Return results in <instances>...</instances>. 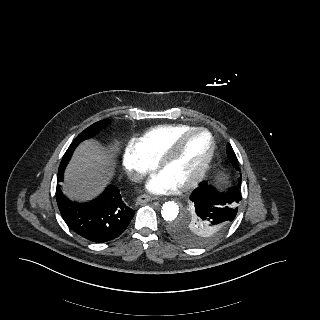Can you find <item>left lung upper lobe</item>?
Here are the masks:
<instances>
[{"mask_svg": "<svg viewBox=\"0 0 320 320\" xmlns=\"http://www.w3.org/2000/svg\"><path fill=\"white\" fill-rule=\"evenodd\" d=\"M227 156L233 167L240 171L237 157L230 144H227ZM238 184H241V179H239ZM187 227V229H184L173 224L171 225L170 230L179 240L189 243L191 235L207 236V231L210 229L209 223L202 219L193 208H190V211L187 214Z\"/></svg>", "mask_w": 320, "mask_h": 320, "instance_id": "obj_1", "label": "left lung upper lobe"}]
</instances>
